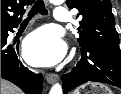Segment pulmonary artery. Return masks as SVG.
<instances>
[{
  "label": "pulmonary artery",
  "instance_id": "1",
  "mask_svg": "<svg viewBox=\"0 0 121 94\" xmlns=\"http://www.w3.org/2000/svg\"><path fill=\"white\" fill-rule=\"evenodd\" d=\"M54 19L59 22H66L69 20V12L64 7H57L54 12Z\"/></svg>",
  "mask_w": 121,
  "mask_h": 94
}]
</instances>
